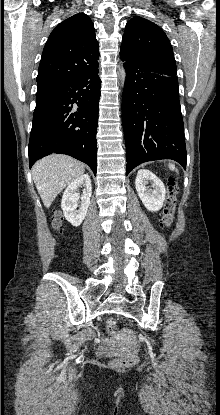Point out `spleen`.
<instances>
[{
    "mask_svg": "<svg viewBox=\"0 0 220 415\" xmlns=\"http://www.w3.org/2000/svg\"><path fill=\"white\" fill-rule=\"evenodd\" d=\"M168 167H169V169H170V170H172V171H174V170H175V171H178V170H177V168L175 167V165H174V164H172V163H169V164H168Z\"/></svg>",
    "mask_w": 220,
    "mask_h": 415,
    "instance_id": "3e777b00",
    "label": "spleen"
}]
</instances>
